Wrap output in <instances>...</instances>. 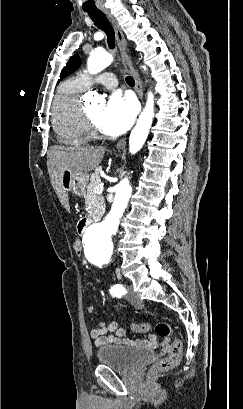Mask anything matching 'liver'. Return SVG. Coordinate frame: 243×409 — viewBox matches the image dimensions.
I'll return each mask as SVG.
<instances>
[{
	"mask_svg": "<svg viewBox=\"0 0 243 409\" xmlns=\"http://www.w3.org/2000/svg\"><path fill=\"white\" fill-rule=\"evenodd\" d=\"M103 147H64L54 145L47 153V167L51 184L63 207L69 211V199L61 186L62 173L68 169L72 174L86 173L96 168L104 156Z\"/></svg>",
	"mask_w": 243,
	"mask_h": 409,
	"instance_id": "liver-1",
	"label": "liver"
}]
</instances>
